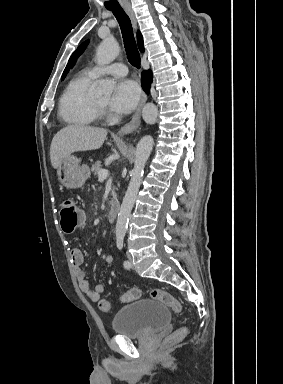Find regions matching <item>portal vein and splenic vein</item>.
<instances>
[{"label":"portal vein and splenic vein","mask_w":283,"mask_h":384,"mask_svg":"<svg viewBox=\"0 0 283 384\" xmlns=\"http://www.w3.org/2000/svg\"><path fill=\"white\" fill-rule=\"evenodd\" d=\"M98 176L101 178V180H106V178L109 176V172L108 170H100V172H98Z\"/></svg>","instance_id":"1"}]
</instances>
